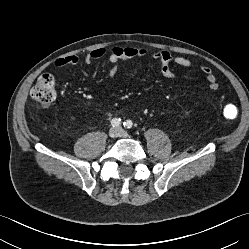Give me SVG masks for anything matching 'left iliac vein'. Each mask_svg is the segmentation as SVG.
<instances>
[{
  "mask_svg": "<svg viewBox=\"0 0 249 249\" xmlns=\"http://www.w3.org/2000/svg\"><path fill=\"white\" fill-rule=\"evenodd\" d=\"M119 130V135L122 137H128V133L122 129H118Z\"/></svg>",
  "mask_w": 249,
  "mask_h": 249,
  "instance_id": "4c4485c4",
  "label": "left iliac vein"
}]
</instances>
